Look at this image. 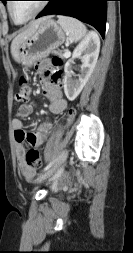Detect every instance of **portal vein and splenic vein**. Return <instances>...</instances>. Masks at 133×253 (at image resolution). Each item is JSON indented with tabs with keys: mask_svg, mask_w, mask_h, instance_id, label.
Listing matches in <instances>:
<instances>
[{
	"mask_svg": "<svg viewBox=\"0 0 133 253\" xmlns=\"http://www.w3.org/2000/svg\"><path fill=\"white\" fill-rule=\"evenodd\" d=\"M64 56H65V57H69V56H70V52H69V51H66V52L64 53Z\"/></svg>",
	"mask_w": 133,
	"mask_h": 253,
	"instance_id": "18ae733b",
	"label": "portal vein and splenic vein"
}]
</instances>
